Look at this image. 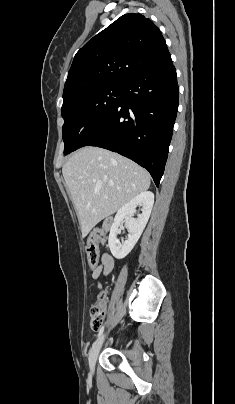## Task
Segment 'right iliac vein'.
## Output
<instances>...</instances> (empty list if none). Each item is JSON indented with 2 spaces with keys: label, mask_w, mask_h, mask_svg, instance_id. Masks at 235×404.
Returning a JSON list of instances; mask_svg holds the SVG:
<instances>
[{
  "label": "right iliac vein",
  "mask_w": 235,
  "mask_h": 404,
  "mask_svg": "<svg viewBox=\"0 0 235 404\" xmlns=\"http://www.w3.org/2000/svg\"><path fill=\"white\" fill-rule=\"evenodd\" d=\"M104 341V336H102L100 339H98L94 345L92 346L90 352H89V366H90V370L91 372L94 371L95 369V364H96V360L100 351V348L102 346V343Z\"/></svg>",
  "instance_id": "obj_1"
}]
</instances>
